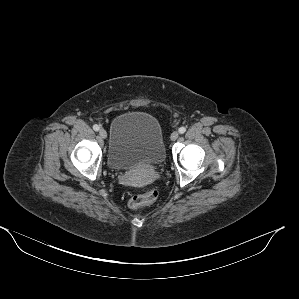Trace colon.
Here are the masks:
<instances>
[{
    "instance_id": "1",
    "label": "colon",
    "mask_w": 299,
    "mask_h": 299,
    "mask_svg": "<svg viewBox=\"0 0 299 299\" xmlns=\"http://www.w3.org/2000/svg\"><path fill=\"white\" fill-rule=\"evenodd\" d=\"M158 197V191L155 189H148L143 194H138L130 198L128 206L131 209H138L154 202Z\"/></svg>"
}]
</instances>
